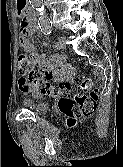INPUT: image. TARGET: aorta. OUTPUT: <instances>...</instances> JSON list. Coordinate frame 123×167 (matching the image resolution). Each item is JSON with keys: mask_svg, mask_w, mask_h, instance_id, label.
Masks as SVG:
<instances>
[{"mask_svg": "<svg viewBox=\"0 0 123 167\" xmlns=\"http://www.w3.org/2000/svg\"><path fill=\"white\" fill-rule=\"evenodd\" d=\"M31 4L39 15L38 24L41 31L49 33L51 31V22L45 13L43 0H31Z\"/></svg>", "mask_w": 123, "mask_h": 167, "instance_id": "1", "label": "aorta"}]
</instances>
